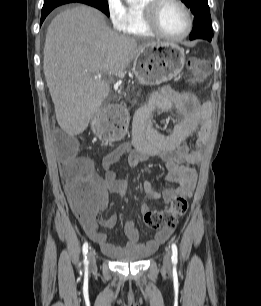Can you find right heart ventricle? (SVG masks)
I'll list each match as a JSON object with an SVG mask.
<instances>
[{"label": "right heart ventricle", "mask_w": 261, "mask_h": 306, "mask_svg": "<svg viewBox=\"0 0 261 306\" xmlns=\"http://www.w3.org/2000/svg\"><path fill=\"white\" fill-rule=\"evenodd\" d=\"M149 0H138L137 3L126 7V23L123 32L139 38H151L155 33L147 26L143 6Z\"/></svg>", "instance_id": "obj_1"}]
</instances>
